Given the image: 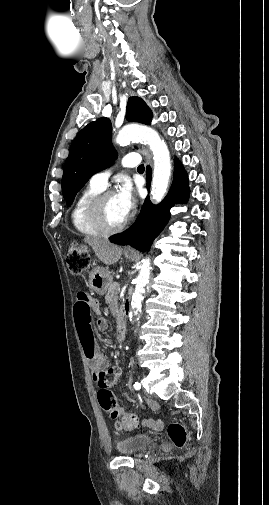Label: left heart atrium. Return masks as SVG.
<instances>
[{
	"mask_svg": "<svg viewBox=\"0 0 269 505\" xmlns=\"http://www.w3.org/2000/svg\"><path fill=\"white\" fill-rule=\"evenodd\" d=\"M114 196L122 215L127 218L136 205V197L131 184L128 181L123 182Z\"/></svg>",
	"mask_w": 269,
	"mask_h": 505,
	"instance_id": "obj_1",
	"label": "left heart atrium"
}]
</instances>
